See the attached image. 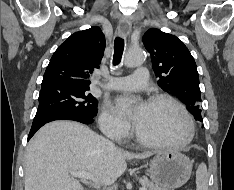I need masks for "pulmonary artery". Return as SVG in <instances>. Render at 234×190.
Instances as JSON below:
<instances>
[{
	"label": "pulmonary artery",
	"mask_w": 234,
	"mask_h": 190,
	"mask_svg": "<svg viewBox=\"0 0 234 190\" xmlns=\"http://www.w3.org/2000/svg\"><path fill=\"white\" fill-rule=\"evenodd\" d=\"M148 84V70L145 66H139L132 76L112 77L108 87L113 90H135Z\"/></svg>",
	"instance_id": "1"
}]
</instances>
